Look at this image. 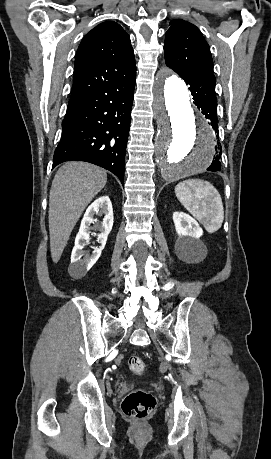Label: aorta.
I'll use <instances>...</instances> for the list:
<instances>
[{
  "mask_svg": "<svg viewBox=\"0 0 271 459\" xmlns=\"http://www.w3.org/2000/svg\"><path fill=\"white\" fill-rule=\"evenodd\" d=\"M153 111L158 127L154 154L162 176L172 181L204 171L214 157V134L194 113L185 82L168 68L155 77Z\"/></svg>",
  "mask_w": 271,
  "mask_h": 459,
  "instance_id": "obj_1",
  "label": "aorta"
}]
</instances>
